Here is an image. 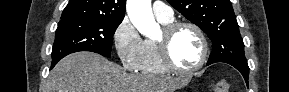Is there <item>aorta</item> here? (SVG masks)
I'll use <instances>...</instances> for the list:
<instances>
[{"mask_svg":"<svg viewBox=\"0 0 289 92\" xmlns=\"http://www.w3.org/2000/svg\"><path fill=\"white\" fill-rule=\"evenodd\" d=\"M126 9L130 21L141 34L150 36L157 31L158 24L152 13L151 0H127Z\"/></svg>","mask_w":289,"mask_h":92,"instance_id":"aorta-1","label":"aorta"}]
</instances>
